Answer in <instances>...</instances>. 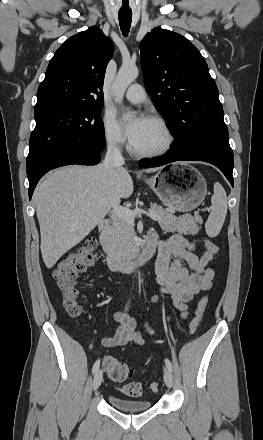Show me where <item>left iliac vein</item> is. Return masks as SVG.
<instances>
[{"mask_svg":"<svg viewBox=\"0 0 263 440\" xmlns=\"http://www.w3.org/2000/svg\"><path fill=\"white\" fill-rule=\"evenodd\" d=\"M164 382L167 387H172L173 385V376L169 369L164 370Z\"/></svg>","mask_w":263,"mask_h":440,"instance_id":"obj_1","label":"left iliac vein"}]
</instances>
